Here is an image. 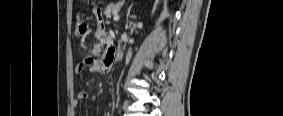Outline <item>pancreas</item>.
I'll return each instance as SVG.
<instances>
[{
  "instance_id": "obj_1",
  "label": "pancreas",
  "mask_w": 283,
  "mask_h": 116,
  "mask_svg": "<svg viewBox=\"0 0 283 116\" xmlns=\"http://www.w3.org/2000/svg\"><path fill=\"white\" fill-rule=\"evenodd\" d=\"M121 5H122L121 2L108 5L104 10V15L107 18H111V15H114L115 13H117L120 10Z\"/></svg>"
}]
</instances>
